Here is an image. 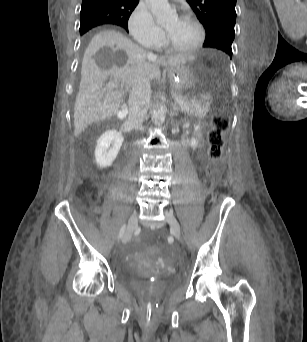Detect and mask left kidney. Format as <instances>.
Instances as JSON below:
<instances>
[{
    "label": "left kidney",
    "mask_w": 307,
    "mask_h": 342,
    "mask_svg": "<svg viewBox=\"0 0 307 342\" xmlns=\"http://www.w3.org/2000/svg\"><path fill=\"white\" fill-rule=\"evenodd\" d=\"M194 130H200V126H194ZM189 144H190L191 148H193V150H195V148H197V146H198V140H195V138H191Z\"/></svg>",
    "instance_id": "5707ae66"
}]
</instances>
